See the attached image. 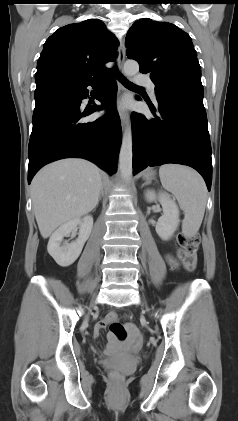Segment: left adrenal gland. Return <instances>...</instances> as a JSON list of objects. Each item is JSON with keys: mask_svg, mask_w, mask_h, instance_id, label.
<instances>
[{"mask_svg": "<svg viewBox=\"0 0 238 421\" xmlns=\"http://www.w3.org/2000/svg\"><path fill=\"white\" fill-rule=\"evenodd\" d=\"M148 183H149L148 181L144 182V183L142 184V188H143L145 185H147Z\"/></svg>", "mask_w": 238, "mask_h": 421, "instance_id": "a2214340", "label": "left adrenal gland"}]
</instances>
